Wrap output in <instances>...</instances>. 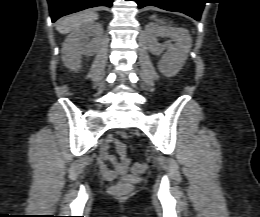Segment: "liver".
Instances as JSON below:
<instances>
[{
  "mask_svg": "<svg viewBox=\"0 0 260 217\" xmlns=\"http://www.w3.org/2000/svg\"><path fill=\"white\" fill-rule=\"evenodd\" d=\"M98 18V14L94 11H85L69 15L57 22L56 29L61 34L69 33L78 27L91 23Z\"/></svg>",
  "mask_w": 260,
  "mask_h": 217,
  "instance_id": "obj_1",
  "label": "liver"
}]
</instances>
